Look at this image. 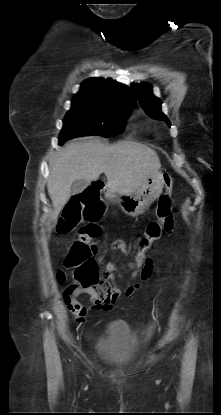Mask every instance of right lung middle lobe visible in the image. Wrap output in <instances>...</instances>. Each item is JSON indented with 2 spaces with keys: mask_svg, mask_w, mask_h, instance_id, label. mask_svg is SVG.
I'll use <instances>...</instances> for the list:
<instances>
[{
  "mask_svg": "<svg viewBox=\"0 0 221 415\" xmlns=\"http://www.w3.org/2000/svg\"><path fill=\"white\" fill-rule=\"evenodd\" d=\"M130 108L105 106L87 102H72L71 110L63 120L59 143L77 136H115L124 131Z\"/></svg>",
  "mask_w": 221,
  "mask_h": 415,
  "instance_id": "obj_1",
  "label": "right lung middle lobe"
}]
</instances>
